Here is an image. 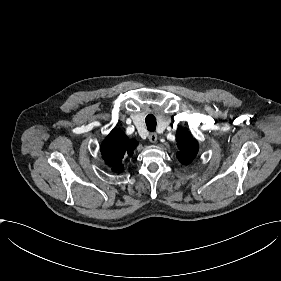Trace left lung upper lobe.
Listing matches in <instances>:
<instances>
[{
	"label": "left lung upper lobe",
	"instance_id": "5c2ea615",
	"mask_svg": "<svg viewBox=\"0 0 281 281\" xmlns=\"http://www.w3.org/2000/svg\"><path fill=\"white\" fill-rule=\"evenodd\" d=\"M176 140L179 148V152L177 153L179 161L183 164L192 162L198 152L197 141L193 139L191 133L183 127H178Z\"/></svg>",
	"mask_w": 281,
	"mask_h": 281
}]
</instances>
